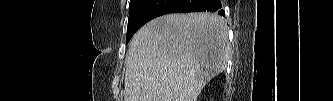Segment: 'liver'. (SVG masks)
I'll use <instances>...</instances> for the list:
<instances>
[{
  "instance_id": "obj_1",
  "label": "liver",
  "mask_w": 333,
  "mask_h": 101,
  "mask_svg": "<svg viewBox=\"0 0 333 101\" xmlns=\"http://www.w3.org/2000/svg\"><path fill=\"white\" fill-rule=\"evenodd\" d=\"M230 57L218 14H168L141 27L126 56L125 101H196Z\"/></svg>"
}]
</instances>
